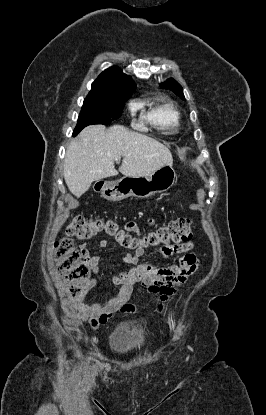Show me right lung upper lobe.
Returning a JSON list of instances; mask_svg holds the SVG:
<instances>
[{"mask_svg": "<svg viewBox=\"0 0 266 415\" xmlns=\"http://www.w3.org/2000/svg\"><path fill=\"white\" fill-rule=\"evenodd\" d=\"M136 84L130 76L124 74L116 66L103 71L92 83L88 97H111L116 95H132Z\"/></svg>", "mask_w": 266, "mask_h": 415, "instance_id": "right-lung-upper-lobe-1", "label": "right lung upper lobe"}]
</instances>
